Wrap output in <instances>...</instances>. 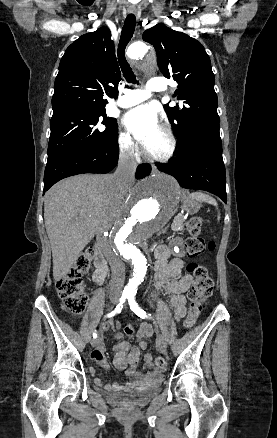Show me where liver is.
Masks as SVG:
<instances>
[{
	"instance_id": "liver-1",
	"label": "liver",
	"mask_w": 277,
	"mask_h": 438,
	"mask_svg": "<svg viewBox=\"0 0 277 438\" xmlns=\"http://www.w3.org/2000/svg\"><path fill=\"white\" fill-rule=\"evenodd\" d=\"M127 205L113 174H80L55 184L44 196V220L56 282L70 272L97 232L110 230Z\"/></svg>"
}]
</instances>
